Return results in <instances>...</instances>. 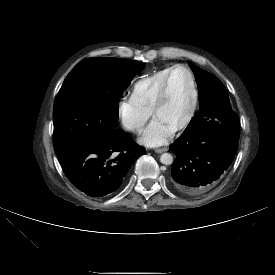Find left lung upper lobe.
<instances>
[{
  "instance_id": "left-lung-upper-lobe-1",
  "label": "left lung upper lobe",
  "mask_w": 275,
  "mask_h": 275,
  "mask_svg": "<svg viewBox=\"0 0 275 275\" xmlns=\"http://www.w3.org/2000/svg\"><path fill=\"white\" fill-rule=\"evenodd\" d=\"M197 80L200 111L195 115L182 136H197L208 131H225L239 138V122L231 109L223 83L212 74L190 64Z\"/></svg>"
}]
</instances>
